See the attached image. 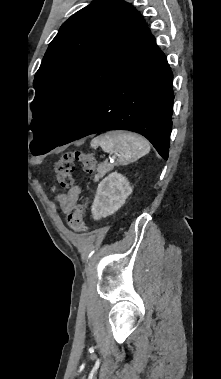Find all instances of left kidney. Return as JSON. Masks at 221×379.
I'll return each instance as SVG.
<instances>
[{"instance_id":"left-kidney-1","label":"left kidney","mask_w":221,"mask_h":379,"mask_svg":"<svg viewBox=\"0 0 221 379\" xmlns=\"http://www.w3.org/2000/svg\"><path fill=\"white\" fill-rule=\"evenodd\" d=\"M131 193L132 187L123 175L117 172L109 174L98 185L91 207L93 218L99 220L114 214Z\"/></svg>"}]
</instances>
